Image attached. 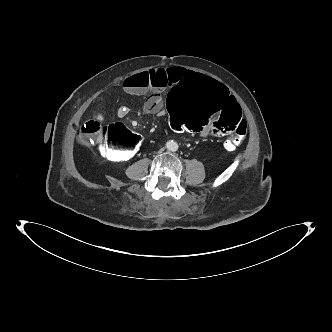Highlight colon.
I'll list each match as a JSON object with an SVG mask.
<instances>
[{
	"label": "colon",
	"instance_id": "obj_1",
	"mask_svg": "<svg viewBox=\"0 0 332 332\" xmlns=\"http://www.w3.org/2000/svg\"><path fill=\"white\" fill-rule=\"evenodd\" d=\"M166 117L182 133L222 136L233 131L224 142L227 150L240 146L247 134L238 100L219 81L201 73L187 74L178 81L169 94ZM80 139L86 145L109 143L105 152L116 161L136 155L143 146L140 135L120 125L103 130L96 119H89L81 126Z\"/></svg>",
	"mask_w": 332,
	"mask_h": 332
}]
</instances>
